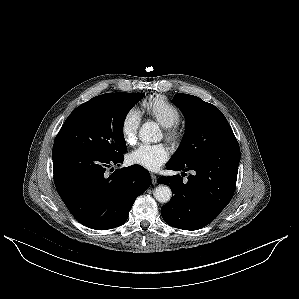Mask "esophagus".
I'll use <instances>...</instances> for the list:
<instances>
[{"instance_id":"obj_1","label":"esophagus","mask_w":299,"mask_h":299,"mask_svg":"<svg viewBox=\"0 0 299 299\" xmlns=\"http://www.w3.org/2000/svg\"><path fill=\"white\" fill-rule=\"evenodd\" d=\"M151 179H152V184H156L157 183V176L154 173L150 174Z\"/></svg>"}]
</instances>
